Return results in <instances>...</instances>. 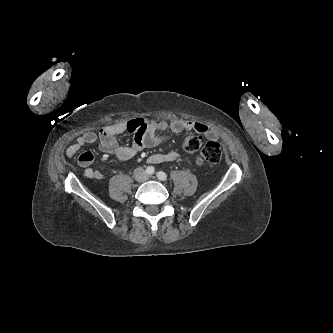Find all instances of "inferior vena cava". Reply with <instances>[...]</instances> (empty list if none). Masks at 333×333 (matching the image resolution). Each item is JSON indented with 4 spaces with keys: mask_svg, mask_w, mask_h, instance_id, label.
I'll use <instances>...</instances> for the list:
<instances>
[{
    "mask_svg": "<svg viewBox=\"0 0 333 333\" xmlns=\"http://www.w3.org/2000/svg\"><path fill=\"white\" fill-rule=\"evenodd\" d=\"M134 178L135 180L139 181V182H143L147 179V173L143 168H136L134 170Z\"/></svg>",
    "mask_w": 333,
    "mask_h": 333,
    "instance_id": "602c4592",
    "label": "inferior vena cava"
}]
</instances>
